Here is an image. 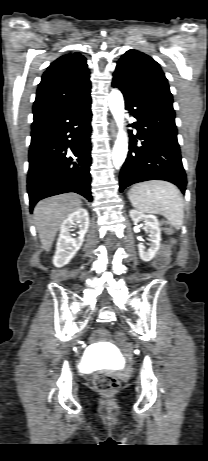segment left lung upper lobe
<instances>
[{
  "label": "left lung upper lobe",
  "instance_id": "obj_1",
  "mask_svg": "<svg viewBox=\"0 0 208 461\" xmlns=\"http://www.w3.org/2000/svg\"><path fill=\"white\" fill-rule=\"evenodd\" d=\"M113 79L129 91L173 102L168 81L159 64L138 50H128L117 63Z\"/></svg>",
  "mask_w": 208,
  "mask_h": 461
}]
</instances>
